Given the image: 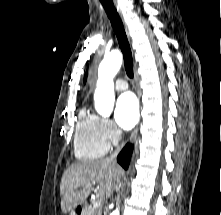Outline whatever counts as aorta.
<instances>
[{
  "label": "aorta",
  "instance_id": "762f6f07",
  "mask_svg": "<svg viewBox=\"0 0 221 215\" xmlns=\"http://www.w3.org/2000/svg\"><path fill=\"white\" fill-rule=\"evenodd\" d=\"M122 54L118 50H112L105 54L98 68V80L94 93L95 108L103 116H108L114 105V82L113 78L120 70ZM110 215H120L118 208Z\"/></svg>",
  "mask_w": 221,
  "mask_h": 215
}]
</instances>
